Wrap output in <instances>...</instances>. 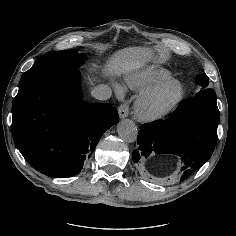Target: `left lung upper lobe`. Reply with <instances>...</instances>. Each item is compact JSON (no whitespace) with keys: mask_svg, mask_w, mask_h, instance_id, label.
Returning a JSON list of instances; mask_svg holds the SVG:
<instances>
[{"mask_svg":"<svg viewBox=\"0 0 236 236\" xmlns=\"http://www.w3.org/2000/svg\"><path fill=\"white\" fill-rule=\"evenodd\" d=\"M208 76L203 73L198 75L196 78V82L199 86H201V90L195 94V96H205L216 99V94L213 89L208 88L209 85Z\"/></svg>","mask_w":236,"mask_h":236,"instance_id":"5c2ea615","label":"left lung upper lobe"}]
</instances>
